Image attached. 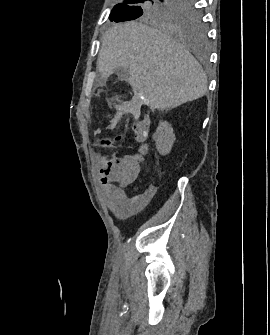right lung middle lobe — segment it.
<instances>
[{"label": "right lung middle lobe", "mask_w": 270, "mask_h": 335, "mask_svg": "<svg viewBox=\"0 0 270 335\" xmlns=\"http://www.w3.org/2000/svg\"><path fill=\"white\" fill-rule=\"evenodd\" d=\"M138 18L197 45L205 43L203 14L192 0H123L109 16L115 22Z\"/></svg>", "instance_id": "dd1d6c3e"}]
</instances>
